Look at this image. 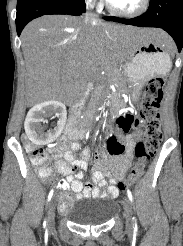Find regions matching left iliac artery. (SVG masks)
<instances>
[{
  "mask_svg": "<svg viewBox=\"0 0 183 246\" xmlns=\"http://www.w3.org/2000/svg\"><path fill=\"white\" fill-rule=\"evenodd\" d=\"M127 195H128V198L131 202H133V196H132V193L129 189H127ZM137 227L136 225V222H135V228Z\"/></svg>",
  "mask_w": 183,
  "mask_h": 246,
  "instance_id": "1",
  "label": "left iliac artery"
}]
</instances>
